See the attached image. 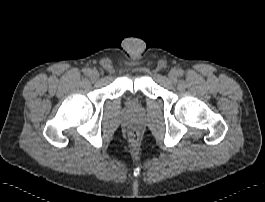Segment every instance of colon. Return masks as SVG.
<instances>
[{"mask_svg": "<svg viewBox=\"0 0 265 202\" xmlns=\"http://www.w3.org/2000/svg\"><path fill=\"white\" fill-rule=\"evenodd\" d=\"M129 138L132 142H137L139 140V134L133 131L130 133Z\"/></svg>", "mask_w": 265, "mask_h": 202, "instance_id": "5ec220e1", "label": "colon"}]
</instances>
